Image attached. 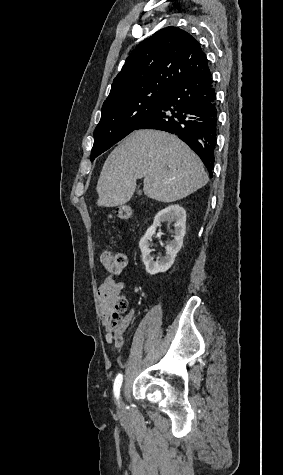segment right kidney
<instances>
[{
    "instance_id": "ca27d5eb",
    "label": "right kidney",
    "mask_w": 283,
    "mask_h": 475,
    "mask_svg": "<svg viewBox=\"0 0 283 475\" xmlns=\"http://www.w3.org/2000/svg\"><path fill=\"white\" fill-rule=\"evenodd\" d=\"M175 222L174 224V239L165 245L166 255L161 257V259H156L154 261L153 255H150V241L149 239L152 238L153 234H155L156 228L161 226V222ZM186 222V212L184 208H181L179 204H172V206H168V208H164L161 212H158L154 218V222L150 228H148L145 236L140 239L139 247L142 253V259L144 261L145 269L147 273H159V271H167L169 267H171L172 263L175 261L176 253H178L179 249H181L183 245V238L185 236V226Z\"/></svg>"
}]
</instances>
